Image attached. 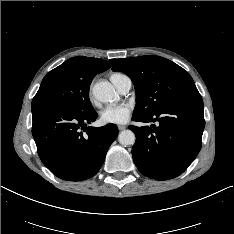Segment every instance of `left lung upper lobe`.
Segmentation results:
<instances>
[{
	"label": "left lung upper lobe",
	"instance_id": "1",
	"mask_svg": "<svg viewBox=\"0 0 234 234\" xmlns=\"http://www.w3.org/2000/svg\"><path fill=\"white\" fill-rule=\"evenodd\" d=\"M112 70L127 74L134 83L136 106L132 118L149 116L172 102L199 93L189 73L163 57L117 59Z\"/></svg>",
	"mask_w": 234,
	"mask_h": 234
}]
</instances>
